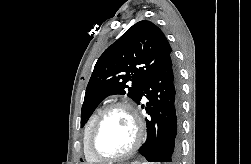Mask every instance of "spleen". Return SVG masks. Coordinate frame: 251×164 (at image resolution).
<instances>
[{"mask_svg":"<svg viewBox=\"0 0 251 164\" xmlns=\"http://www.w3.org/2000/svg\"><path fill=\"white\" fill-rule=\"evenodd\" d=\"M143 164H150V163H148V162H144Z\"/></svg>","mask_w":251,"mask_h":164,"instance_id":"1","label":"spleen"}]
</instances>
